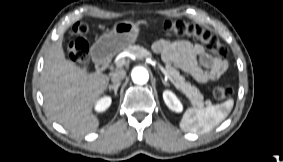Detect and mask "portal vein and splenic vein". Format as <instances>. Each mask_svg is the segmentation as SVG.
Segmentation results:
<instances>
[{"instance_id": "1", "label": "portal vein and splenic vein", "mask_w": 283, "mask_h": 162, "mask_svg": "<svg viewBox=\"0 0 283 162\" xmlns=\"http://www.w3.org/2000/svg\"><path fill=\"white\" fill-rule=\"evenodd\" d=\"M126 64H127V62H126L125 60H120V61L117 62V66H118V67H122V66H124V65H126ZM160 69H161L162 73H163L167 78H169L170 81L173 83L172 78L169 77V75H168V73L166 72V70H165L162 66H160Z\"/></svg>"}]
</instances>
